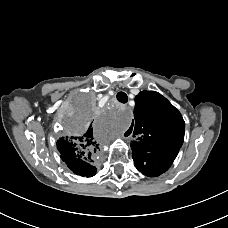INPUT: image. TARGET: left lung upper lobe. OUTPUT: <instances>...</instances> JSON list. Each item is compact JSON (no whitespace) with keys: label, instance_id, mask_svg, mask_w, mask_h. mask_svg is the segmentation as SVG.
Segmentation results:
<instances>
[{"label":"left lung upper lobe","instance_id":"1","mask_svg":"<svg viewBox=\"0 0 228 228\" xmlns=\"http://www.w3.org/2000/svg\"><path fill=\"white\" fill-rule=\"evenodd\" d=\"M185 122L180 112L160 93L142 91L135 97L134 120L128 130L136 139L132 156L174 160L184 141Z\"/></svg>","mask_w":228,"mask_h":228}]
</instances>
